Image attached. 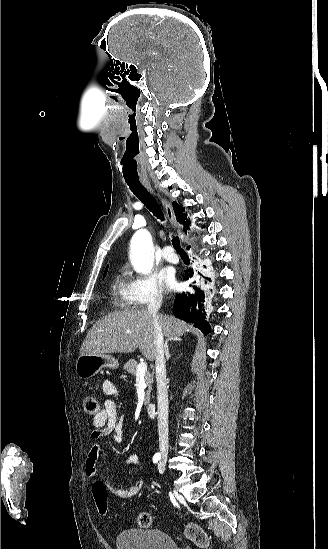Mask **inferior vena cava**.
I'll use <instances>...</instances> for the list:
<instances>
[{"label": "inferior vena cava", "instance_id": "inferior-vena-cava-1", "mask_svg": "<svg viewBox=\"0 0 328 549\" xmlns=\"http://www.w3.org/2000/svg\"><path fill=\"white\" fill-rule=\"evenodd\" d=\"M162 305V299H152L147 303L149 315L154 319L155 335V369L157 383V407H158V435L159 451L161 455L168 453V393L166 383V365L164 359V337L162 329L158 323V311Z\"/></svg>", "mask_w": 328, "mask_h": 549}]
</instances>
